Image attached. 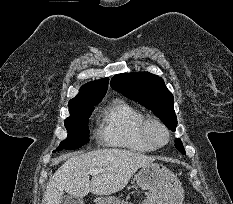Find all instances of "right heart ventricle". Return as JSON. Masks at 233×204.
<instances>
[{"mask_svg": "<svg viewBox=\"0 0 233 204\" xmlns=\"http://www.w3.org/2000/svg\"><path fill=\"white\" fill-rule=\"evenodd\" d=\"M144 114L122 99H115L99 113L98 137L109 147L128 149L134 152H150L139 134V124Z\"/></svg>", "mask_w": 233, "mask_h": 204, "instance_id": "right-heart-ventricle-1", "label": "right heart ventricle"}]
</instances>
